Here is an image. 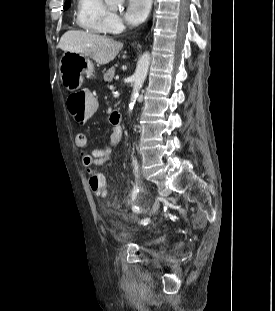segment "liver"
Masks as SVG:
<instances>
[{"mask_svg":"<svg viewBox=\"0 0 275 311\" xmlns=\"http://www.w3.org/2000/svg\"><path fill=\"white\" fill-rule=\"evenodd\" d=\"M63 51L82 53L104 65L111 62L123 47V43L86 31H67L58 44Z\"/></svg>","mask_w":275,"mask_h":311,"instance_id":"6515ba94","label":"liver"}]
</instances>
